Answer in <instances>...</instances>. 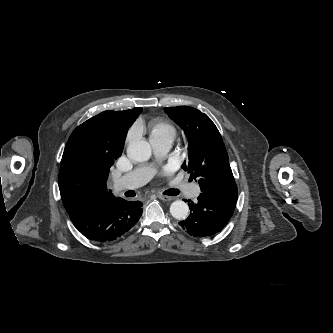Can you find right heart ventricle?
Returning <instances> with one entry per match:
<instances>
[{"label": "right heart ventricle", "instance_id": "e07e8e85", "mask_svg": "<svg viewBox=\"0 0 333 333\" xmlns=\"http://www.w3.org/2000/svg\"><path fill=\"white\" fill-rule=\"evenodd\" d=\"M176 130L174 126L166 121L158 120L151 126L150 137H171L174 138Z\"/></svg>", "mask_w": 333, "mask_h": 333}]
</instances>
